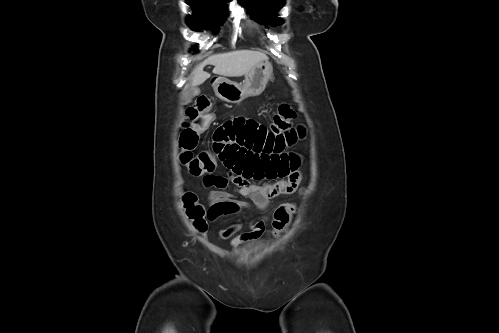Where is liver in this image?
Here are the masks:
<instances>
[{
	"instance_id": "6515ba94",
	"label": "liver",
	"mask_w": 499,
	"mask_h": 333,
	"mask_svg": "<svg viewBox=\"0 0 499 333\" xmlns=\"http://www.w3.org/2000/svg\"><path fill=\"white\" fill-rule=\"evenodd\" d=\"M267 60L266 54L252 50H237L212 55L193 69L192 86L201 85L210 77L209 73L203 71L206 65H213V73L216 75L241 77L246 75L258 63Z\"/></svg>"
}]
</instances>
